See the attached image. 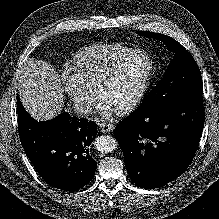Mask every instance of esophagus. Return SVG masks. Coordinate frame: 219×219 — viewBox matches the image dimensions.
Instances as JSON below:
<instances>
[{
	"mask_svg": "<svg viewBox=\"0 0 219 219\" xmlns=\"http://www.w3.org/2000/svg\"><path fill=\"white\" fill-rule=\"evenodd\" d=\"M100 130L102 133H110L113 130V125L109 123H100Z\"/></svg>",
	"mask_w": 219,
	"mask_h": 219,
	"instance_id": "1",
	"label": "esophagus"
}]
</instances>
